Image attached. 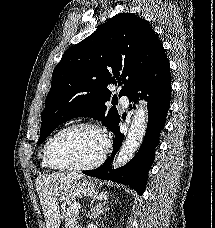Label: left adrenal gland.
Here are the masks:
<instances>
[{"label": "left adrenal gland", "instance_id": "a2214340", "mask_svg": "<svg viewBox=\"0 0 215 228\" xmlns=\"http://www.w3.org/2000/svg\"><path fill=\"white\" fill-rule=\"evenodd\" d=\"M107 204H109V202H102V204H97V206L95 208V212L92 216L93 220H95V218H99L100 214H102V212H104V210H103L104 206H107Z\"/></svg>", "mask_w": 215, "mask_h": 228}]
</instances>
